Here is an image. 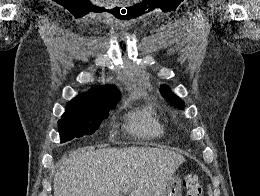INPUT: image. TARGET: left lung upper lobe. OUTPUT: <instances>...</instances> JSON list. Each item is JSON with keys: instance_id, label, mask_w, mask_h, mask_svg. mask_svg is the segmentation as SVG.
<instances>
[{"instance_id": "5c2ea615", "label": "left lung upper lobe", "mask_w": 260, "mask_h": 196, "mask_svg": "<svg viewBox=\"0 0 260 196\" xmlns=\"http://www.w3.org/2000/svg\"><path fill=\"white\" fill-rule=\"evenodd\" d=\"M160 92L172 105L180 109H184V102L179 97L174 95L167 86H162L160 88Z\"/></svg>"}]
</instances>
